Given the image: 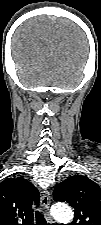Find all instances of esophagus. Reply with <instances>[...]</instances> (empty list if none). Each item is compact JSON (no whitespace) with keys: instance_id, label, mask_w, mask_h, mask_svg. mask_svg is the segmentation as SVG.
Here are the masks:
<instances>
[{"instance_id":"34e87169","label":"esophagus","mask_w":101,"mask_h":225,"mask_svg":"<svg viewBox=\"0 0 101 225\" xmlns=\"http://www.w3.org/2000/svg\"><path fill=\"white\" fill-rule=\"evenodd\" d=\"M41 206L46 220L49 223H53V219L50 214V192L48 190H44L41 194Z\"/></svg>"}]
</instances>
